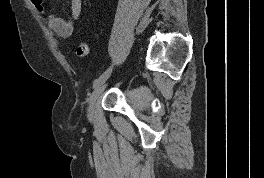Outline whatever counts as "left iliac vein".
<instances>
[{
  "label": "left iliac vein",
  "mask_w": 264,
  "mask_h": 178,
  "mask_svg": "<svg viewBox=\"0 0 264 178\" xmlns=\"http://www.w3.org/2000/svg\"><path fill=\"white\" fill-rule=\"evenodd\" d=\"M107 78H105L97 87L96 89L93 91V93L91 94L89 100H88V109H87V113H88V117L91 119L93 117L94 114V107H95V103L98 100V98L100 97V95L103 93L104 89L107 86Z\"/></svg>",
  "instance_id": "left-iliac-vein-1"
}]
</instances>
